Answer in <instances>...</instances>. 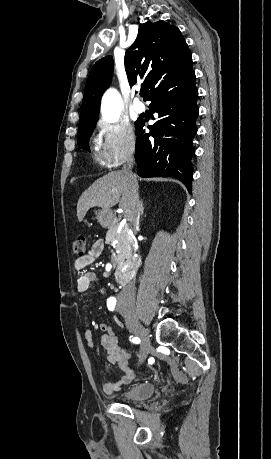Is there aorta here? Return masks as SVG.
Returning <instances> with one entry per match:
<instances>
[{"label": "aorta", "instance_id": "762f6f07", "mask_svg": "<svg viewBox=\"0 0 271 459\" xmlns=\"http://www.w3.org/2000/svg\"><path fill=\"white\" fill-rule=\"evenodd\" d=\"M122 109L121 96L115 89H109L102 98V117L107 122H116Z\"/></svg>", "mask_w": 271, "mask_h": 459}]
</instances>
